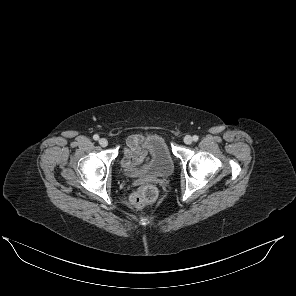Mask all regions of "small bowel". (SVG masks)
<instances>
[{
  "label": "small bowel",
  "instance_id": "small-bowel-1",
  "mask_svg": "<svg viewBox=\"0 0 296 296\" xmlns=\"http://www.w3.org/2000/svg\"><path fill=\"white\" fill-rule=\"evenodd\" d=\"M142 142L143 137L141 135H133L128 138L122 158V164L125 168H134L149 158L148 153L142 149Z\"/></svg>",
  "mask_w": 296,
  "mask_h": 296
}]
</instances>
